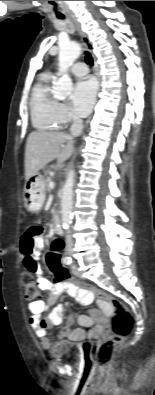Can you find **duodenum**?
<instances>
[{
  "mask_svg": "<svg viewBox=\"0 0 155 395\" xmlns=\"http://www.w3.org/2000/svg\"><path fill=\"white\" fill-rule=\"evenodd\" d=\"M53 229L56 234H58V235L63 234L62 225H61V218L59 215H55L53 218Z\"/></svg>",
  "mask_w": 155,
  "mask_h": 395,
  "instance_id": "duodenum-1",
  "label": "duodenum"
}]
</instances>
